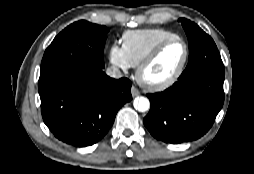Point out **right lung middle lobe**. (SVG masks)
Segmentation results:
<instances>
[{
    "label": "right lung middle lobe",
    "mask_w": 254,
    "mask_h": 174,
    "mask_svg": "<svg viewBox=\"0 0 254 174\" xmlns=\"http://www.w3.org/2000/svg\"><path fill=\"white\" fill-rule=\"evenodd\" d=\"M109 29L85 20L66 27L46 49L39 84L72 70L104 68L103 50Z\"/></svg>",
    "instance_id": "dd1d6c3e"
}]
</instances>
